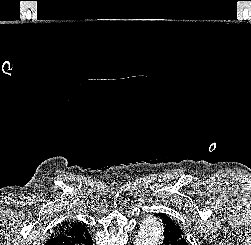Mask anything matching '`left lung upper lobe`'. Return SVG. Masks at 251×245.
<instances>
[{"instance_id":"obj_1","label":"left lung upper lobe","mask_w":251,"mask_h":245,"mask_svg":"<svg viewBox=\"0 0 251 245\" xmlns=\"http://www.w3.org/2000/svg\"><path fill=\"white\" fill-rule=\"evenodd\" d=\"M168 219V221L171 223V224H173L177 229H179V231L184 235V233H183V231L181 230V227L177 224V223H175L171 218H167ZM162 221H163V223L165 224V220H163L162 219Z\"/></svg>"}]
</instances>
